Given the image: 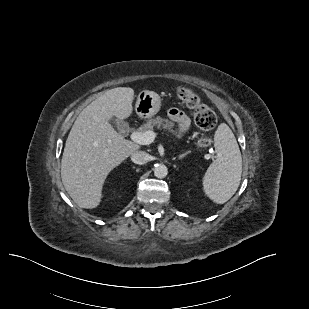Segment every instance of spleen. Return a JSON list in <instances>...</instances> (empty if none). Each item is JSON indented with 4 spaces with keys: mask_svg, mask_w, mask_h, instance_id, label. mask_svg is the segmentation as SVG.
Segmentation results:
<instances>
[{
    "mask_svg": "<svg viewBox=\"0 0 309 309\" xmlns=\"http://www.w3.org/2000/svg\"><path fill=\"white\" fill-rule=\"evenodd\" d=\"M216 158L208 167L203 180L205 194L215 203L227 202L237 191L242 175V157L236 138L225 123L214 135Z\"/></svg>",
    "mask_w": 309,
    "mask_h": 309,
    "instance_id": "1",
    "label": "spleen"
}]
</instances>
